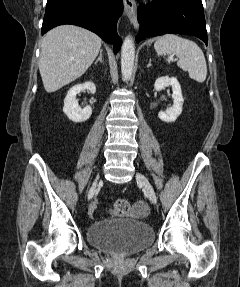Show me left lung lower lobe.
I'll return each mask as SVG.
<instances>
[{"mask_svg": "<svg viewBox=\"0 0 240 287\" xmlns=\"http://www.w3.org/2000/svg\"><path fill=\"white\" fill-rule=\"evenodd\" d=\"M140 31L136 37L142 39L180 33L193 35L207 45V31L201 0H153L138 8Z\"/></svg>", "mask_w": 240, "mask_h": 287, "instance_id": "1", "label": "left lung lower lobe"}]
</instances>
